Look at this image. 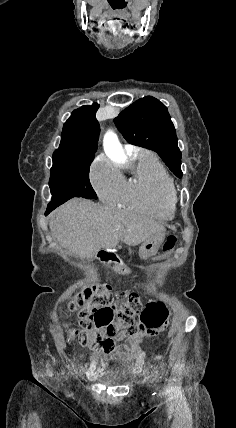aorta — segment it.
<instances>
[{
	"label": "aorta",
	"mask_w": 236,
	"mask_h": 428,
	"mask_svg": "<svg viewBox=\"0 0 236 428\" xmlns=\"http://www.w3.org/2000/svg\"><path fill=\"white\" fill-rule=\"evenodd\" d=\"M104 147L105 150L116 160H122L123 158V149L118 140L117 135L108 131L104 137Z\"/></svg>",
	"instance_id": "762f6f07"
}]
</instances>
